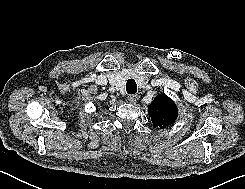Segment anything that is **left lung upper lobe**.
Wrapping results in <instances>:
<instances>
[{
  "label": "left lung upper lobe",
  "mask_w": 245,
  "mask_h": 189,
  "mask_svg": "<svg viewBox=\"0 0 245 189\" xmlns=\"http://www.w3.org/2000/svg\"><path fill=\"white\" fill-rule=\"evenodd\" d=\"M148 115L154 127L165 128L175 122L178 109L174 101L165 94H159L149 105Z\"/></svg>",
  "instance_id": "obj_1"
}]
</instances>
